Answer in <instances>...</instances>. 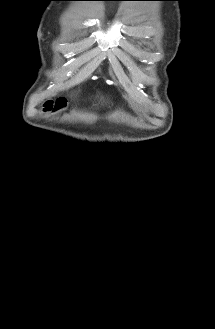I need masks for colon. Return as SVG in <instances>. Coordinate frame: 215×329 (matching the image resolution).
<instances>
[{"label":"colon","mask_w":215,"mask_h":329,"mask_svg":"<svg viewBox=\"0 0 215 329\" xmlns=\"http://www.w3.org/2000/svg\"><path fill=\"white\" fill-rule=\"evenodd\" d=\"M54 101H55V107L57 108V109H60L61 107H62V104L61 103H64V101H65V98H64V96H55V98H54ZM47 112L49 113V114H52L53 112H54V109L52 108V107H49L48 109H47Z\"/></svg>","instance_id":"obj_1"}]
</instances>
